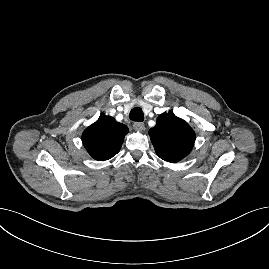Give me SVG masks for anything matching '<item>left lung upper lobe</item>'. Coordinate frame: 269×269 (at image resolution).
<instances>
[{"label": "left lung upper lobe", "mask_w": 269, "mask_h": 269, "mask_svg": "<svg viewBox=\"0 0 269 269\" xmlns=\"http://www.w3.org/2000/svg\"><path fill=\"white\" fill-rule=\"evenodd\" d=\"M156 154L168 162H178L193 148L195 133L173 112L163 113L157 118L156 126L149 130Z\"/></svg>", "instance_id": "obj_1"}]
</instances>
